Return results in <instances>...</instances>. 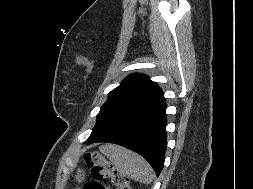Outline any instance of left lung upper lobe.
<instances>
[{
    "label": "left lung upper lobe",
    "mask_w": 253,
    "mask_h": 189,
    "mask_svg": "<svg viewBox=\"0 0 253 189\" xmlns=\"http://www.w3.org/2000/svg\"><path fill=\"white\" fill-rule=\"evenodd\" d=\"M164 99L159 86L143 74H131L109 93L91 136L109 132Z\"/></svg>",
    "instance_id": "5c2ea615"
}]
</instances>
